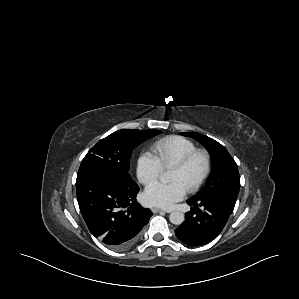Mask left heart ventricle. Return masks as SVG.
<instances>
[{
  "mask_svg": "<svg viewBox=\"0 0 299 299\" xmlns=\"http://www.w3.org/2000/svg\"><path fill=\"white\" fill-rule=\"evenodd\" d=\"M204 170V159L201 156L196 157L191 164L182 171L171 169L169 180L182 183L186 189L194 184Z\"/></svg>",
  "mask_w": 299,
  "mask_h": 299,
  "instance_id": "1",
  "label": "left heart ventricle"
}]
</instances>
